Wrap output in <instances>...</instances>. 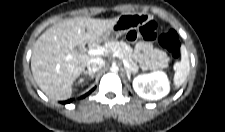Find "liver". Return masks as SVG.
I'll use <instances>...</instances> for the list:
<instances>
[{"instance_id":"1","label":"liver","mask_w":225,"mask_h":132,"mask_svg":"<svg viewBox=\"0 0 225 132\" xmlns=\"http://www.w3.org/2000/svg\"><path fill=\"white\" fill-rule=\"evenodd\" d=\"M118 20L77 17L47 29L35 42L31 57L32 74L39 88L52 99H69L72 85L88 61L99 57L81 53L76 47L100 40Z\"/></svg>"}]
</instances>
